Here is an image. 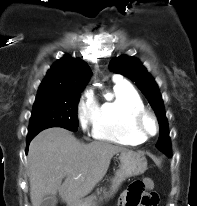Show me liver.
I'll return each mask as SVG.
<instances>
[{
  "instance_id": "obj_1",
  "label": "liver",
  "mask_w": 197,
  "mask_h": 206,
  "mask_svg": "<svg viewBox=\"0 0 197 206\" xmlns=\"http://www.w3.org/2000/svg\"><path fill=\"white\" fill-rule=\"evenodd\" d=\"M123 151L128 150L103 141L81 143L59 127L40 132L27 157L32 206L57 193L69 206L81 201L105 176L112 157Z\"/></svg>"
}]
</instances>
